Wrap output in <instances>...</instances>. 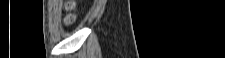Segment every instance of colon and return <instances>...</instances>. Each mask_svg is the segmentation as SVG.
<instances>
[{
	"mask_svg": "<svg viewBox=\"0 0 225 58\" xmlns=\"http://www.w3.org/2000/svg\"><path fill=\"white\" fill-rule=\"evenodd\" d=\"M73 9V5L71 3L68 4L67 10L71 11ZM75 22V16L70 13L66 18V23L68 25H72Z\"/></svg>",
	"mask_w": 225,
	"mask_h": 58,
	"instance_id": "obj_1",
	"label": "colon"
}]
</instances>
